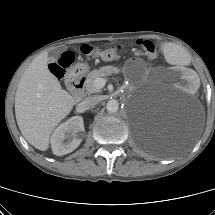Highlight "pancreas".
<instances>
[{
    "label": "pancreas",
    "instance_id": "1",
    "mask_svg": "<svg viewBox=\"0 0 215 215\" xmlns=\"http://www.w3.org/2000/svg\"><path fill=\"white\" fill-rule=\"evenodd\" d=\"M119 69L114 66H103L99 69H95L87 74L86 78V92L88 94L99 92L100 89L95 86V80L99 77H104L111 75L113 73H118Z\"/></svg>",
    "mask_w": 215,
    "mask_h": 215
}]
</instances>
